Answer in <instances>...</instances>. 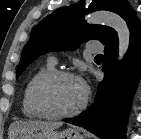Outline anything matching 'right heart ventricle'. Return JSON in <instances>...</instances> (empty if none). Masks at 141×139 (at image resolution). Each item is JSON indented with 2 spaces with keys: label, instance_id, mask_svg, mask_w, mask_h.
<instances>
[{
  "label": "right heart ventricle",
  "instance_id": "1",
  "mask_svg": "<svg viewBox=\"0 0 141 139\" xmlns=\"http://www.w3.org/2000/svg\"><path fill=\"white\" fill-rule=\"evenodd\" d=\"M55 70L52 62H47L40 66L27 80L21 99V106L23 114L28 118L40 119L45 116L39 111L35 105L33 92L37 82L47 73Z\"/></svg>",
  "mask_w": 141,
  "mask_h": 139
}]
</instances>
